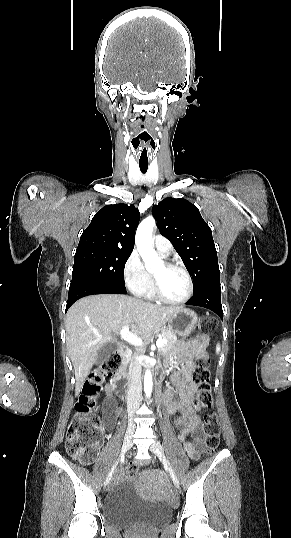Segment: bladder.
Returning <instances> with one entry per match:
<instances>
[{"mask_svg":"<svg viewBox=\"0 0 291 538\" xmlns=\"http://www.w3.org/2000/svg\"><path fill=\"white\" fill-rule=\"evenodd\" d=\"M171 513V509L163 503L141 499L130 481L115 485L103 503L105 520L118 527H127L139 521L158 523L168 519Z\"/></svg>","mask_w":291,"mask_h":538,"instance_id":"obj_1","label":"bladder"}]
</instances>
